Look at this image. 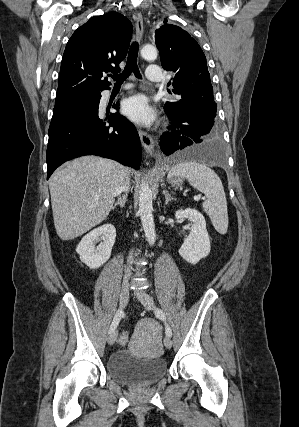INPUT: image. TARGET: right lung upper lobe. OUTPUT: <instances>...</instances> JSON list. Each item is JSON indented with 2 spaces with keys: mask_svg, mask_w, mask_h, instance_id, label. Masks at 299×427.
<instances>
[{
  "mask_svg": "<svg viewBox=\"0 0 299 427\" xmlns=\"http://www.w3.org/2000/svg\"><path fill=\"white\" fill-rule=\"evenodd\" d=\"M132 37V24L110 12L94 16L69 39L62 58L56 103L76 100L109 89L104 73L120 71Z\"/></svg>",
  "mask_w": 299,
  "mask_h": 427,
  "instance_id": "obj_1",
  "label": "right lung upper lobe"
}]
</instances>
